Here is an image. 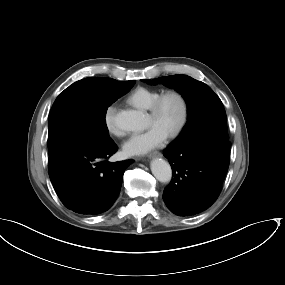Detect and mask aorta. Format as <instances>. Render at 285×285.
<instances>
[{
  "mask_svg": "<svg viewBox=\"0 0 285 285\" xmlns=\"http://www.w3.org/2000/svg\"><path fill=\"white\" fill-rule=\"evenodd\" d=\"M114 122L121 130H142L144 128V115L136 110H122L115 115ZM151 171L154 177L162 183H168L172 178L170 164L161 158L151 162Z\"/></svg>",
  "mask_w": 285,
  "mask_h": 285,
  "instance_id": "obj_1",
  "label": "aorta"
}]
</instances>
